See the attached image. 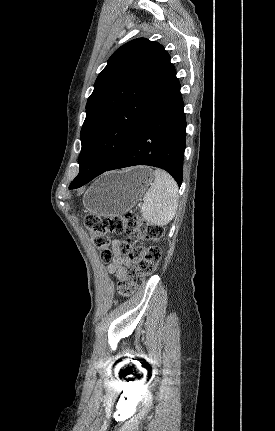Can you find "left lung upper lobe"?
<instances>
[{
  "label": "left lung upper lobe",
  "mask_w": 275,
  "mask_h": 431,
  "mask_svg": "<svg viewBox=\"0 0 275 431\" xmlns=\"http://www.w3.org/2000/svg\"><path fill=\"white\" fill-rule=\"evenodd\" d=\"M176 71L164 47L146 38L117 49L97 77L86 105L79 173L114 163L173 89Z\"/></svg>",
  "instance_id": "1"
}]
</instances>
